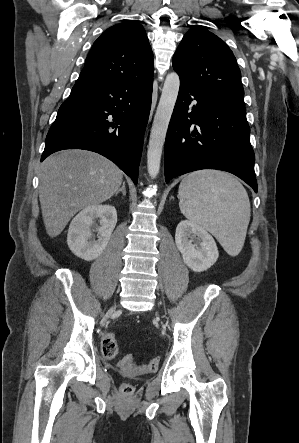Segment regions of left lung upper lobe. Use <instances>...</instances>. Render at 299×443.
Masks as SVG:
<instances>
[{"label":"left lung upper lobe","instance_id":"left-lung-upper-lobe-1","mask_svg":"<svg viewBox=\"0 0 299 443\" xmlns=\"http://www.w3.org/2000/svg\"><path fill=\"white\" fill-rule=\"evenodd\" d=\"M180 80L210 95L244 106L241 73L226 43L201 26L192 27L173 56Z\"/></svg>","mask_w":299,"mask_h":443}]
</instances>
